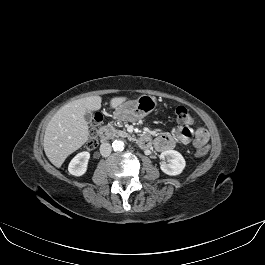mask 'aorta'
Segmentation results:
<instances>
[{
  "mask_svg": "<svg viewBox=\"0 0 265 265\" xmlns=\"http://www.w3.org/2000/svg\"><path fill=\"white\" fill-rule=\"evenodd\" d=\"M125 144L122 140H114L112 143V148L116 152H121L124 150Z\"/></svg>",
  "mask_w": 265,
  "mask_h": 265,
  "instance_id": "1",
  "label": "aorta"
}]
</instances>
